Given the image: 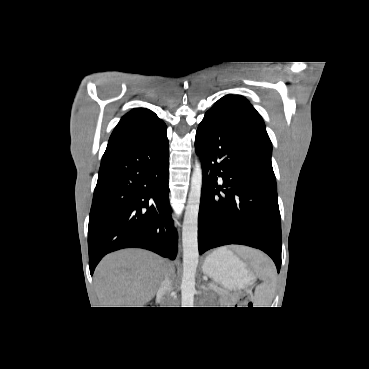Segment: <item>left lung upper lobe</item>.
Segmentation results:
<instances>
[{"mask_svg": "<svg viewBox=\"0 0 369 369\" xmlns=\"http://www.w3.org/2000/svg\"><path fill=\"white\" fill-rule=\"evenodd\" d=\"M206 114L222 117L233 125L245 130L263 143L271 153L272 145L264 122L260 114L244 97L231 94L226 95L219 99Z\"/></svg>", "mask_w": 369, "mask_h": 369, "instance_id": "obj_1", "label": "left lung upper lobe"}]
</instances>
